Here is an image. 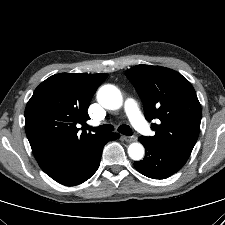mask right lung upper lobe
I'll return each mask as SVG.
<instances>
[{"label":"right lung upper lobe","instance_id":"obj_1","mask_svg":"<svg viewBox=\"0 0 225 225\" xmlns=\"http://www.w3.org/2000/svg\"><path fill=\"white\" fill-rule=\"evenodd\" d=\"M107 74H55L34 91L25 108V129L40 167L59 152L85 145L102 134L76 127L90 119L87 109Z\"/></svg>","mask_w":225,"mask_h":225}]
</instances>
